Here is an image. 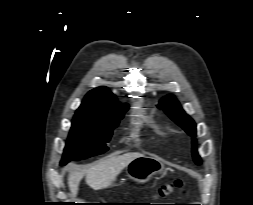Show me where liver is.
Returning a JSON list of instances; mask_svg holds the SVG:
<instances>
[{
	"instance_id": "1",
	"label": "liver",
	"mask_w": 253,
	"mask_h": 205,
	"mask_svg": "<svg viewBox=\"0 0 253 205\" xmlns=\"http://www.w3.org/2000/svg\"><path fill=\"white\" fill-rule=\"evenodd\" d=\"M142 156L140 153H126L112 156L86 170H72L68 175V186L73 196L77 195L79 183L86 174V183L94 190L109 187L118 174L126 168L135 158Z\"/></svg>"
}]
</instances>
